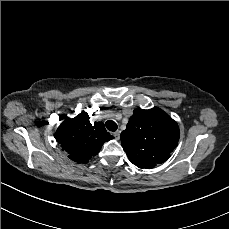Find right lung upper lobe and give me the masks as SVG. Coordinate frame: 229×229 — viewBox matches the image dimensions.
I'll list each match as a JSON object with an SVG mask.
<instances>
[{
    "label": "right lung upper lobe",
    "instance_id": "1",
    "mask_svg": "<svg viewBox=\"0 0 229 229\" xmlns=\"http://www.w3.org/2000/svg\"><path fill=\"white\" fill-rule=\"evenodd\" d=\"M56 139L68 157L78 163H87L98 154L102 145L113 139L102 122L92 125L85 111L76 117L67 118L57 129Z\"/></svg>",
    "mask_w": 229,
    "mask_h": 229
}]
</instances>
